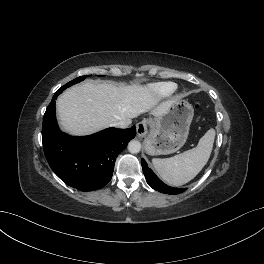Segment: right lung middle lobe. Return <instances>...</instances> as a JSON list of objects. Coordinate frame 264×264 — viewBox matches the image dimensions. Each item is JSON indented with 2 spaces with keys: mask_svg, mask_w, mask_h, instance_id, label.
Masks as SVG:
<instances>
[{
  "mask_svg": "<svg viewBox=\"0 0 264 264\" xmlns=\"http://www.w3.org/2000/svg\"><path fill=\"white\" fill-rule=\"evenodd\" d=\"M84 79H85V76H80V77H78V78H76V79H74V80L68 82L66 85L62 86V87L58 90V92L61 93V92H62L64 89H66L67 87H69V86H71V85H73V84H75V83H78V82H80V81H82V80H84Z\"/></svg>",
  "mask_w": 264,
  "mask_h": 264,
  "instance_id": "1",
  "label": "right lung middle lobe"
}]
</instances>
